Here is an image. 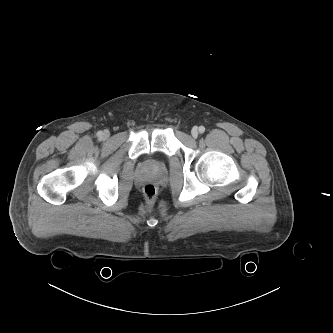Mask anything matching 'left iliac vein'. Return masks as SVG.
Masks as SVG:
<instances>
[{"label":"left iliac vein","instance_id":"1","mask_svg":"<svg viewBox=\"0 0 333 333\" xmlns=\"http://www.w3.org/2000/svg\"><path fill=\"white\" fill-rule=\"evenodd\" d=\"M191 134L194 138H197L198 137V128L197 127H194L191 131Z\"/></svg>","mask_w":333,"mask_h":333}]
</instances>
